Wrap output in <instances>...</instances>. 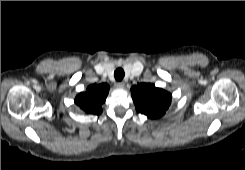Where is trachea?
Here are the masks:
<instances>
[{
  "mask_svg": "<svg viewBox=\"0 0 245 170\" xmlns=\"http://www.w3.org/2000/svg\"><path fill=\"white\" fill-rule=\"evenodd\" d=\"M125 73L122 68H117L114 72V77L117 81H121L124 77Z\"/></svg>",
  "mask_w": 245,
  "mask_h": 170,
  "instance_id": "trachea-1",
  "label": "trachea"
}]
</instances>
